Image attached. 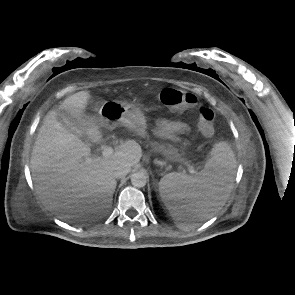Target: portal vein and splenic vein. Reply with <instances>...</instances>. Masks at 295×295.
I'll return each instance as SVG.
<instances>
[{
  "mask_svg": "<svg viewBox=\"0 0 295 295\" xmlns=\"http://www.w3.org/2000/svg\"><path fill=\"white\" fill-rule=\"evenodd\" d=\"M112 154H113V148L110 147V146H106V147L104 148L103 152H102V156H103L104 158H108V157H110ZM188 171H189L190 174H195V173H196V171H195V169H194V167H193L192 165H189V166H188Z\"/></svg>",
  "mask_w": 295,
  "mask_h": 295,
  "instance_id": "portal-vein-and-splenic-vein-1",
  "label": "portal vein and splenic vein"
}]
</instances>
